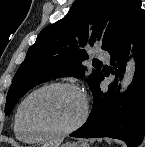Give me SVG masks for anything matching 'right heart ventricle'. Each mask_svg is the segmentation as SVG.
<instances>
[{
    "instance_id": "obj_1",
    "label": "right heart ventricle",
    "mask_w": 145,
    "mask_h": 147,
    "mask_svg": "<svg viewBox=\"0 0 145 147\" xmlns=\"http://www.w3.org/2000/svg\"><path fill=\"white\" fill-rule=\"evenodd\" d=\"M17 112H18V109H17ZM17 112L14 118V134L16 138L22 142H34V141L43 139L37 135L27 133L21 128L17 119Z\"/></svg>"
}]
</instances>
